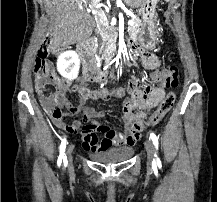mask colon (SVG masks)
<instances>
[{
    "label": "colon",
    "mask_w": 217,
    "mask_h": 202,
    "mask_svg": "<svg viewBox=\"0 0 217 202\" xmlns=\"http://www.w3.org/2000/svg\"><path fill=\"white\" fill-rule=\"evenodd\" d=\"M44 41H41V46H50V41H55V36H44ZM55 52H61V47H55ZM39 54H50V49H39ZM34 73L37 74V91L41 94V103H45L48 119H55L61 121V123H55V128H63L70 134H78L80 132H87L97 129L96 123H89L83 127H80L79 123H70L66 120L67 113L72 111L71 107H68L67 111L63 112L61 103H66V98H62V93H56V91H67V86L62 85V80H52L56 78V73H59V68H64V63H54L53 59H48V55H37L34 59ZM134 79H153L155 87L146 88H157L160 87L164 91V85H172L175 87L179 82V69L177 67H167L156 73L150 74L147 78H134ZM134 96L135 103L138 107L143 109L153 108L158 99H163V104L160 110H156L153 114L154 117L148 122V126L153 127L156 125L162 117L169 111L175 101V94L172 92L170 96L165 100L161 94V90H135ZM146 95V96H143ZM141 121V120H139ZM147 126V127H148ZM139 137V136H138Z\"/></svg>",
    "instance_id": "1"
}]
</instances>
